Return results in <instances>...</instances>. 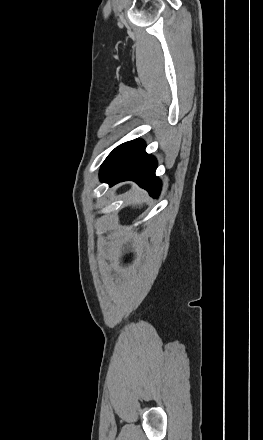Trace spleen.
<instances>
[{
    "instance_id": "spleen-1",
    "label": "spleen",
    "mask_w": 263,
    "mask_h": 440,
    "mask_svg": "<svg viewBox=\"0 0 263 440\" xmlns=\"http://www.w3.org/2000/svg\"><path fill=\"white\" fill-rule=\"evenodd\" d=\"M127 201L140 206L146 201V194L141 190H137L128 197Z\"/></svg>"
}]
</instances>
